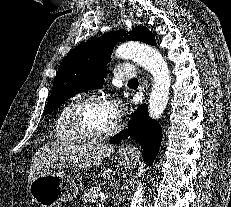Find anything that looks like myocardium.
Segmentation results:
<instances>
[{"instance_id":"f54148a6","label":"myocardium","mask_w":231,"mask_h":207,"mask_svg":"<svg viewBox=\"0 0 231 207\" xmlns=\"http://www.w3.org/2000/svg\"><path fill=\"white\" fill-rule=\"evenodd\" d=\"M91 103L109 104L108 100L104 96L97 94L87 95L76 100L68 115L69 125L74 134L79 139L89 142L103 141L117 134L121 127V123L118 118L114 125L108 131L103 133H92L82 124L80 120V112L83 107Z\"/></svg>"}]
</instances>
